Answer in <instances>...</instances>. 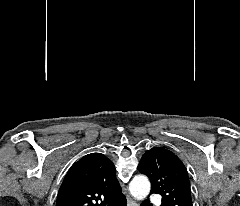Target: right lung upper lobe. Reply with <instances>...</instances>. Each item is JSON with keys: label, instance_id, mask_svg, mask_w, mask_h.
Returning <instances> with one entry per match:
<instances>
[{"label": "right lung upper lobe", "instance_id": "1", "mask_svg": "<svg viewBox=\"0 0 240 206\" xmlns=\"http://www.w3.org/2000/svg\"><path fill=\"white\" fill-rule=\"evenodd\" d=\"M121 193L114 164L101 153H91L69 169L56 206H106Z\"/></svg>", "mask_w": 240, "mask_h": 206}]
</instances>
